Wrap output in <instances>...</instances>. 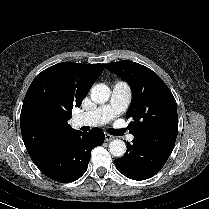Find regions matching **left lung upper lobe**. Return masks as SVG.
Returning a JSON list of instances; mask_svg holds the SVG:
<instances>
[{"label":"left lung upper lobe","instance_id":"obj_1","mask_svg":"<svg viewBox=\"0 0 209 209\" xmlns=\"http://www.w3.org/2000/svg\"><path fill=\"white\" fill-rule=\"evenodd\" d=\"M106 68L127 81L132 102L127 117L130 133L152 141L175 142L178 115L175 98L166 84L151 69L133 61L106 64Z\"/></svg>","mask_w":209,"mask_h":209}]
</instances>
